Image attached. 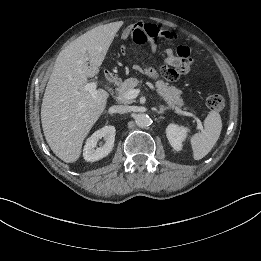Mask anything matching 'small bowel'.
<instances>
[{
    "label": "small bowel",
    "mask_w": 261,
    "mask_h": 261,
    "mask_svg": "<svg viewBox=\"0 0 261 261\" xmlns=\"http://www.w3.org/2000/svg\"><path fill=\"white\" fill-rule=\"evenodd\" d=\"M131 38L134 40V35H131ZM154 39L155 38L152 36L147 37V43L149 46L150 53L152 55H154L157 50V45ZM122 52H126L125 47L122 48ZM163 64L166 68L170 69L174 73L173 78L171 80H177L180 75L186 74L192 66L191 49L188 46L183 45L178 46L176 52L172 48H167L165 50ZM144 70L151 77H157V74L154 69L146 67Z\"/></svg>",
    "instance_id": "c3829d8e"
}]
</instances>
